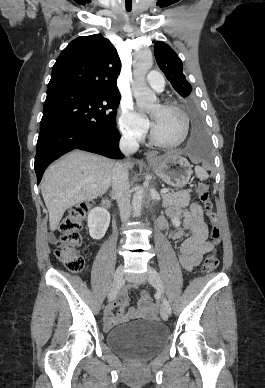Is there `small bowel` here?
I'll use <instances>...</instances> for the list:
<instances>
[{"mask_svg": "<svg viewBox=\"0 0 265 388\" xmlns=\"http://www.w3.org/2000/svg\"><path fill=\"white\" fill-rule=\"evenodd\" d=\"M168 217L174 220H180L183 224V229L176 231L169 230L168 234L171 239H181L186 231L191 233L190 236L182 241L179 247V262L185 270L191 271L201 263L203 256L213 248V244L207 240V226L204 220L203 209L198 203H192L188 209H169ZM161 225L163 228L167 229L165 220L161 221ZM132 287L133 286H127L121 289L117 298L115 297L113 302L105 308V328L109 329L116 324L136 318L140 315L148 318L153 316V306L144 301L140 303L139 310H134L128 315L124 313L129 302V291ZM116 308H118V312L117 314H114Z\"/></svg>", "mask_w": 265, "mask_h": 388, "instance_id": "c3829d8e", "label": "small bowel"}]
</instances>
